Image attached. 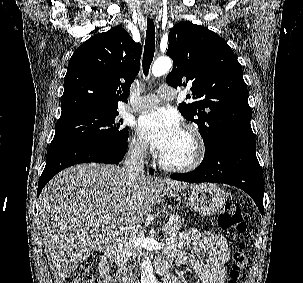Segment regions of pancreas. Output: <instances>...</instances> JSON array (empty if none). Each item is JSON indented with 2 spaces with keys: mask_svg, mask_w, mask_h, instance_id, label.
Here are the masks:
<instances>
[{
  "mask_svg": "<svg viewBox=\"0 0 303 283\" xmlns=\"http://www.w3.org/2000/svg\"><path fill=\"white\" fill-rule=\"evenodd\" d=\"M169 220L172 221L171 224H167L169 227L167 232L169 234L177 232L181 228L184 221V219L177 214L170 215ZM140 252L139 247L133 246L126 240V237H124L117 243L116 262L120 267H123L131 256L135 257Z\"/></svg>",
  "mask_w": 303,
  "mask_h": 283,
  "instance_id": "cf45deb5",
  "label": "pancreas"
}]
</instances>
